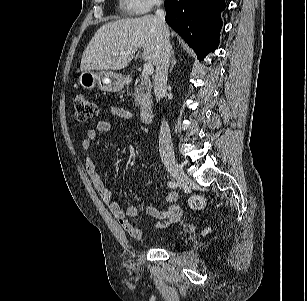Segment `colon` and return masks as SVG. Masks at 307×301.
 <instances>
[{"label":"colon","instance_id":"colon-1","mask_svg":"<svg viewBox=\"0 0 307 301\" xmlns=\"http://www.w3.org/2000/svg\"><path fill=\"white\" fill-rule=\"evenodd\" d=\"M73 109L75 117L79 122H85L89 119L95 118L98 112L95 100L81 94H78L74 97ZM205 204V199L201 196H193L190 199V206L193 209H203Z\"/></svg>","mask_w":307,"mask_h":301}]
</instances>
